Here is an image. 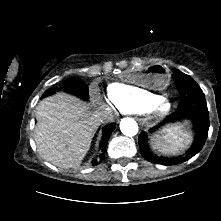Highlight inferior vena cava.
Returning <instances> with one entry per match:
<instances>
[{"label": "inferior vena cava", "instance_id": "obj_1", "mask_svg": "<svg viewBox=\"0 0 221 221\" xmlns=\"http://www.w3.org/2000/svg\"><path fill=\"white\" fill-rule=\"evenodd\" d=\"M98 118L100 122H109L113 120V112L111 108H103L98 112Z\"/></svg>", "mask_w": 221, "mask_h": 221}]
</instances>
